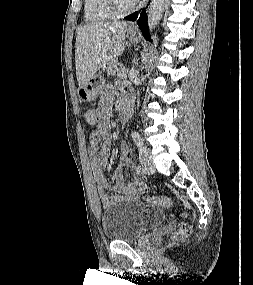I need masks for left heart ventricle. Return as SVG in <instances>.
<instances>
[{
    "label": "left heart ventricle",
    "mask_w": 253,
    "mask_h": 285,
    "mask_svg": "<svg viewBox=\"0 0 253 285\" xmlns=\"http://www.w3.org/2000/svg\"><path fill=\"white\" fill-rule=\"evenodd\" d=\"M119 1L123 7H129L135 2V0H119Z\"/></svg>",
    "instance_id": "obj_1"
}]
</instances>
